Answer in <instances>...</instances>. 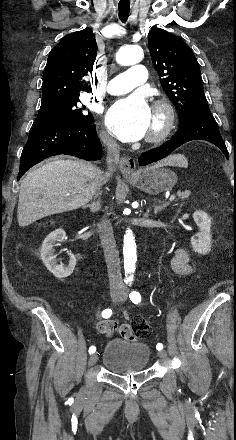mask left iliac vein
I'll return each mask as SVG.
<instances>
[{
	"mask_svg": "<svg viewBox=\"0 0 236 440\" xmlns=\"http://www.w3.org/2000/svg\"><path fill=\"white\" fill-rule=\"evenodd\" d=\"M127 299V294L126 293H123L121 296H120V298H119V302H124L125 300ZM158 356L160 357V358H166L167 357V353L165 352V351H159L158 352Z\"/></svg>",
	"mask_w": 236,
	"mask_h": 440,
	"instance_id": "1",
	"label": "left iliac vein"
}]
</instances>
